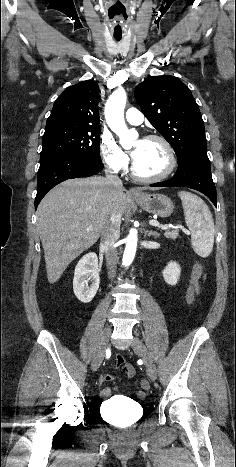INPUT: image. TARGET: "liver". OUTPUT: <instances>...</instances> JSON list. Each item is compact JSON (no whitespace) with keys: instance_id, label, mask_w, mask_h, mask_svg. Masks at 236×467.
Here are the masks:
<instances>
[{"instance_id":"1","label":"liver","mask_w":236,"mask_h":467,"mask_svg":"<svg viewBox=\"0 0 236 467\" xmlns=\"http://www.w3.org/2000/svg\"><path fill=\"white\" fill-rule=\"evenodd\" d=\"M127 206L124 188L100 176L69 179L53 188L37 209L49 283L57 282L67 266L99 239L113 212L121 220Z\"/></svg>"}]
</instances>
